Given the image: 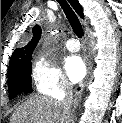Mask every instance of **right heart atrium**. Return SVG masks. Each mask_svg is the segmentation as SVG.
I'll use <instances>...</instances> for the list:
<instances>
[{
	"mask_svg": "<svg viewBox=\"0 0 122 123\" xmlns=\"http://www.w3.org/2000/svg\"><path fill=\"white\" fill-rule=\"evenodd\" d=\"M31 77L39 94L60 98L72 90L61 68L50 58L40 55L32 63Z\"/></svg>",
	"mask_w": 122,
	"mask_h": 123,
	"instance_id": "right-heart-atrium-1",
	"label": "right heart atrium"
}]
</instances>
